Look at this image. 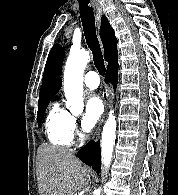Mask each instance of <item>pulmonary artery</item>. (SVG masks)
Segmentation results:
<instances>
[{"label":"pulmonary artery","mask_w":178,"mask_h":195,"mask_svg":"<svg viewBox=\"0 0 178 195\" xmlns=\"http://www.w3.org/2000/svg\"><path fill=\"white\" fill-rule=\"evenodd\" d=\"M84 84L89 89H97L100 85L99 75L94 71L86 73L84 76Z\"/></svg>","instance_id":"e3ab8cb5"}]
</instances>
